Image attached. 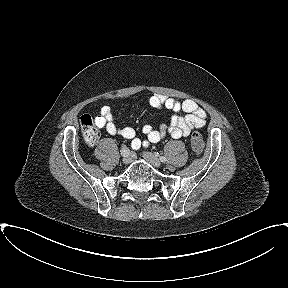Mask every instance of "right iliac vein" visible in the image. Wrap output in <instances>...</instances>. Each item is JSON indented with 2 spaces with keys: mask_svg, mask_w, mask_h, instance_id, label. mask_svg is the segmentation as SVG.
<instances>
[{
  "mask_svg": "<svg viewBox=\"0 0 288 288\" xmlns=\"http://www.w3.org/2000/svg\"><path fill=\"white\" fill-rule=\"evenodd\" d=\"M129 154H130V157L128 159L122 158V162L124 164H129L132 161L133 155L131 153H129Z\"/></svg>",
  "mask_w": 288,
  "mask_h": 288,
  "instance_id": "right-iliac-vein-1",
  "label": "right iliac vein"
}]
</instances>
